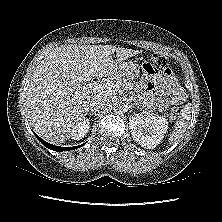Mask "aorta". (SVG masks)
Instances as JSON below:
<instances>
[{"mask_svg": "<svg viewBox=\"0 0 222 222\" xmlns=\"http://www.w3.org/2000/svg\"><path fill=\"white\" fill-rule=\"evenodd\" d=\"M112 109L115 113H121L124 110V105L120 101H116L113 103Z\"/></svg>", "mask_w": 222, "mask_h": 222, "instance_id": "aorta-1", "label": "aorta"}]
</instances>
